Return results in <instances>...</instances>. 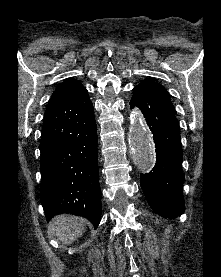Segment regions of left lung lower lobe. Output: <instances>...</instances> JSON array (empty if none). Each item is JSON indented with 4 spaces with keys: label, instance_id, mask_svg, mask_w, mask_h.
<instances>
[{
    "label": "left lung lower lobe",
    "instance_id": "obj_1",
    "mask_svg": "<svg viewBox=\"0 0 221 277\" xmlns=\"http://www.w3.org/2000/svg\"><path fill=\"white\" fill-rule=\"evenodd\" d=\"M134 106L144 114L156 147V164L152 171L141 174V188L155 212L164 217H177L185 208L179 123L174 114L138 85L133 88L130 101V107Z\"/></svg>",
    "mask_w": 221,
    "mask_h": 277
}]
</instances>
